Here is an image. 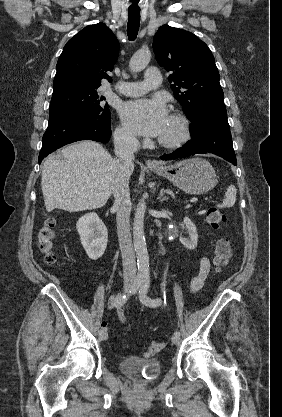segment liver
Instances as JSON below:
<instances>
[{
	"label": "liver",
	"mask_w": 282,
	"mask_h": 417,
	"mask_svg": "<svg viewBox=\"0 0 282 417\" xmlns=\"http://www.w3.org/2000/svg\"><path fill=\"white\" fill-rule=\"evenodd\" d=\"M113 166L114 158L94 140L61 148V158L49 154L41 180L46 211L100 209L112 194Z\"/></svg>",
	"instance_id": "obj_1"
}]
</instances>
